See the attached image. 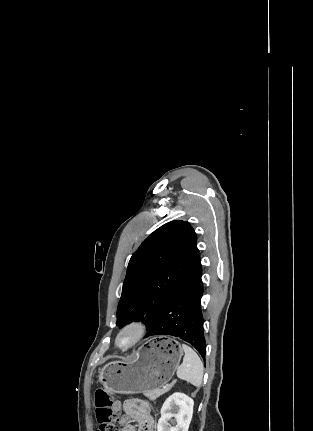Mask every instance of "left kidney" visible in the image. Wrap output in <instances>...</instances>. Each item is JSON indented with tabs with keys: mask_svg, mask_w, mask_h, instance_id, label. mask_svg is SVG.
<instances>
[{
	"mask_svg": "<svg viewBox=\"0 0 313 431\" xmlns=\"http://www.w3.org/2000/svg\"><path fill=\"white\" fill-rule=\"evenodd\" d=\"M193 406V399L183 393H174L169 396L161 408L157 431H188ZM172 418H174L173 426L168 423Z\"/></svg>",
	"mask_w": 313,
	"mask_h": 431,
	"instance_id": "left-kidney-1",
	"label": "left kidney"
}]
</instances>
